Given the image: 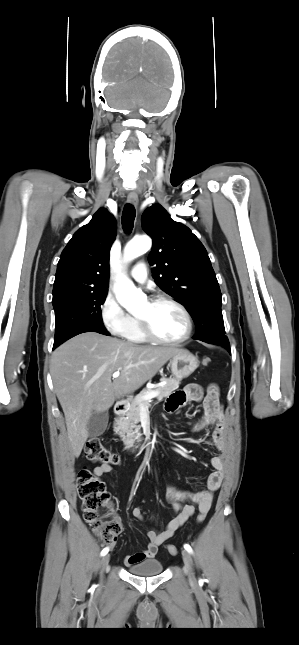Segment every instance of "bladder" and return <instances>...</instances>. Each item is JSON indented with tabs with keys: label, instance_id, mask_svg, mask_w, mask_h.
Returning a JSON list of instances; mask_svg holds the SVG:
<instances>
[{
	"label": "bladder",
	"instance_id": "bladder-1",
	"mask_svg": "<svg viewBox=\"0 0 299 645\" xmlns=\"http://www.w3.org/2000/svg\"><path fill=\"white\" fill-rule=\"evenodd\" d=\"M163 565L157 559H148L134 564L128 568L129 572L137 576H153L162 572Z\"/></svg>",
	"mask_w": 299,
	"mask_h": 645
}]
</instances>
